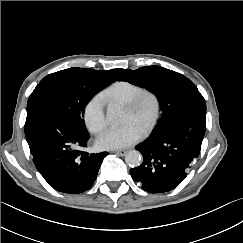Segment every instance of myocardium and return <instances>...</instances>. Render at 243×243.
Instances as JSON below:
<instances>
[{
	"label": "myocardium",
	"instance_id": "1",
	"mask_svg": "<svg viewBox=\"0 0 243 243\" xmlns=\"http://www.w3.org/2000/svg\"><path fill=\"white\" fill-rule=\"evenodd\" d=\"M147 99H151L153 101L155 106V113L150 125L143 131L145 135L150 134L155 129L160 120L161 100L158 94L151 89L144 88L130 102L125 104L126 109L136 112L142 107L143 103Z\"/></svg>",
	"mask_w": 243,
	"mask_h": 243
}]
</instances>
